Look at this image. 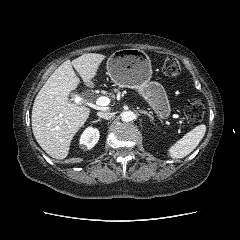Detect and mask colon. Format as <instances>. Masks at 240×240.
I'll use <instances>...</instances> for the list:
<instances>
[{
	"label": "colon",
	"mask_w": 240,
	"mask_h": 240,
	"mask_svg": "<svg viewBox=\"0 0 240 240\" xmlns=\"http://www.w3.org/2000/svg\"><path fill=\"white\" fill-rule=\"evenodd\" d=\"M181 67L174 58H167L162 64V73L167 77H176L180 74ZM204 103L196 98L188 100L184 106V115L190 124H198L204 115Z\"/></svg>",
	"instance_id": "5ec220e1"
}]
</instances>
